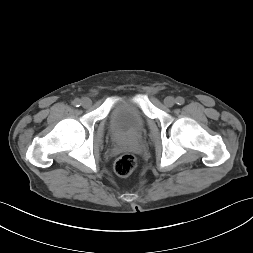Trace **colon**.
I'll return each instance as SVG.
<instances>
[{"mask_svg": "<svg viewBox=\"0 0 253 253\" xmlns=\"http://www.w3.org/2000/svg\"><path fill=\"white\" fill-rule=\"evenodd\" d=\"M136 165V157L131 153H124L116 159L114 163V171L117 175L125 177L135 170Z\"/></svg>", "mask_w": 253, "mask_h": 253, "instance_id": "5ec220e1", "label": "colon"}]
</instances>
